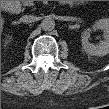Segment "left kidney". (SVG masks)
<instances>
[{
  "instance_id": "5707ae66",
  "label": "left kidney",
  "mask_w": 109,
  "mask_h": 109,
  "mask_svg": "<svg viewBox=\"0 0 109 109\" xmlns=\"http://www.w3.org/2000/svg\"><path fill=\"white\" fill-rule=\"evenodd\" d=\"M92 28L103 31V41H101L99 45H93L89 42V32L85 31L81 34L83 49L89 55H107L109 53V21L107 19H100L93 24Z\"/></svg>"
}]
</instances>
